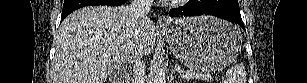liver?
Segmentation results:
<instances>
[{"label":"liver","mask_w":307,"mask_h":83,"mask_svg":"<svg viewBox=\"0 0 307 83\" xmlns=\"http://www.w3.org/2000/svg\"><path fill=\"white\" fill-rule=\"evenodd\" d=\"M133 24L129 6H86L72 12L56 38L53 83H105L113 69L130 62L134 45L149 55L155 44V25L149 19L136 33Z\"/></svg>","instance_id":"obj_1"}]
</instances>
